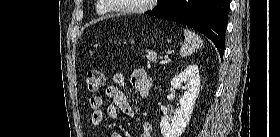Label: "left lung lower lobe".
Listing matches in <instances>:
<instances>
[{
    "label": "left lung lower lobe",
    "instance_id": "obj_1",
    "mask_svg": "<svg viewBox=\"0 0 280 137\" xmlns=\"http://www.w3.org/2000/svg\"><path fill=\"white\" fill-rule=\"evenodd\" d=\"M230 0H164L149 15L186 24L208 37L223 57Z\"/></svg>",
    "mask_w": 280,
    "mask_h": 137
}]
</instances>
